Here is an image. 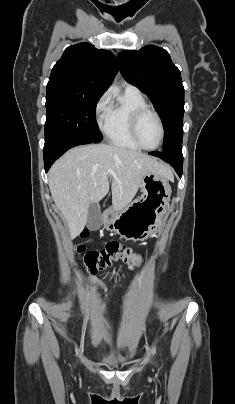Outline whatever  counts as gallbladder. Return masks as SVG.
Listing matches in <instances>:
<instances>
[{
    "label": "gallbladder",
    "instance_id": "gallbladder-1",
    "mask_svg": "<svg viewBox=\"0 0 235 404\" xmlns=\"http://www.w3.org/2000/svg\"><path fill=\"white\" fill-rule=\"evenodd\" d=\"M103 223L100 208L96 202H92L88 210L87 228L91 231L98 230Z\"/></svg>",
    "mask_w": 235,
    "mask_h": 404
}]
</instances>
